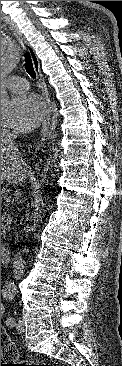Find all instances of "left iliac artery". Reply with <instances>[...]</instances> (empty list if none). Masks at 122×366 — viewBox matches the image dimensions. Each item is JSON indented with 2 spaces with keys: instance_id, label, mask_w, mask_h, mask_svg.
Returning a JSON list of instances; mask_svg holds the SVG:
<instances>
[{
  "instance_id": "1",
  "label": "left iliac artery",
  "mask_w": 122,
  "mask_h": 366,
  "mask_svg": "<svg viewBox=\"0 0 122 366\" xmlns=\"http://www.w3.org/2000/svg\"><path fill=\"white\" fill-rule=\"evenodd\" d=\"M8 299H12V298L8 297ZM6 324L10 327H13L15 325V319L13 317L7 318Z\"/></svg>"
}]
</instances>
